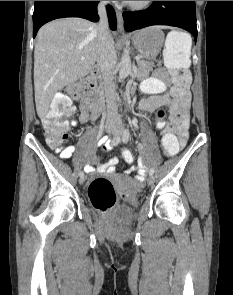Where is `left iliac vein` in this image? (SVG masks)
<instances>
[{"label": "left iliac vein", "mask_w": 233, "mask_h": 295, "mask_svg": "<svg viewBox=\"0 0 233 295\" xmlns=\"http://www.w3.org/2000/svg\"><path fill=\"white\" fill-rule=\"evenodd\" d=\"M122 133H123V129L121 127H119V128H117V131H116L115 135L120 136V135H122ZM153 182H154V178L152 176H149L147 178L148 185H152Z\"/></svg>", "instance_id": "left-iliac-vein-1"}]
</instances>
